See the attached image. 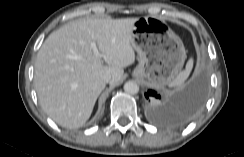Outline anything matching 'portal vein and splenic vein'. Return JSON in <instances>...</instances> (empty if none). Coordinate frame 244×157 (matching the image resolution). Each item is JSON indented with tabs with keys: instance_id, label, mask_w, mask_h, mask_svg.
Returning a JSON list of instances; mask_svg holds the SVG:
<instances>
[{
	"instance_id": "1",
	"label": "portal vein and splenic vein",
	"mask_w": 244,
	"mask_h": 157,
	"mask_svg": "<svg viewBox=\"0 0 244 157\" xmlns=\"http://www.w3.org/2000/svg\"><path fill=\"white\" fill-rule=\"evenodd\" d=\"M91 48L94 52L95 57L100 58L102 56L94 42L91 43Z\"/></svg>"
}]
</instances>
